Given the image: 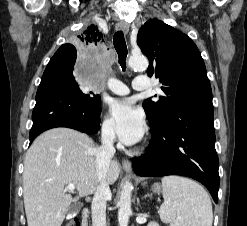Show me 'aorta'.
Returning <instances> with one entry per match:
<instances>
[{"label": "aorta", "instance_id": "obj_1", "mask_svg": "<svg viewBox=\"0 0 247 226\" xmlns=\"http://www.w3.org/2000/svg\"><path fill=\"white\" fill-rule=\"evenodd\" d=\"M148 59L145 56H132L129 58L128 65L132 69L146 70L148 68ZM132 184L126 181L119 200V210H118V221L119 226H127L129 222V217L131 214V194H132Z\"/></svg>", "mask_w": 247, "mask_h": 226}]
</instances>
